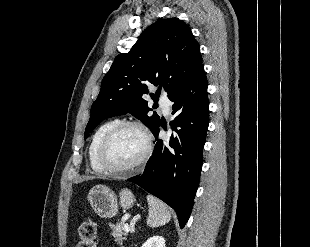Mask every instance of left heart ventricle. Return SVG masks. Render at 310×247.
<instances>
[{
    "instance_id": "1",
    "label": "left heart ventricle",
    "mask_w": 310,
    "mask_h": 247,
    "mask_svg": "<svg viewBox=\"0 0 310 247\" xmlns=\"http://www.w3.org/2000/svg\"><path fill=\"white\" fill-rule=\"evenodd\" d=\"M145 147L143 134L136 128L121 130L110 142L105 160L111 167H126L134 163Z\"/></svg>"
}]
</instances>
